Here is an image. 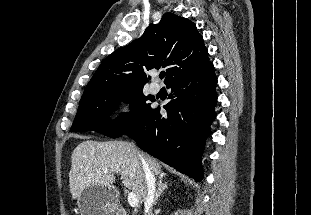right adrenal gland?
Here are the masks:
<instances>
[{"instance_id":"2a0ac1e0","label":"right adrenal gland","mask_w":311,"mask_h":215,"mask_svg":"<svg viewBox=\"0 0 311 215\" xmlns=\"http://www.w3.org/2000/svg\"><path fill=\"white\" fill-rule=\"evenodd\" d=\"M165 177V174L159 177L158 181V189L156 191L155 199H154V205H156L160 195L163 193L165 189L168 188V182H163V178Z\"/></svg>"}]
</instances>
